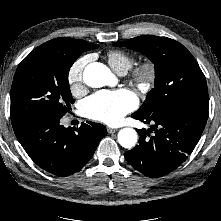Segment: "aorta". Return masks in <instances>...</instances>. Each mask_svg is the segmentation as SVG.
Wrapping results in <instances>:
<instances>
[{"mask_svg":"<svg viewBox=\"0 0 221 221\" xmlns=\"http://www.w3.org/2000/svg\"><path fill=\"white\" fill-rule=\"evenodd\" d=\"M113 75L110 69L102 63L93 62L86 66L83 72L84 82L92 88L110 84ZM138 139L137 132L132 128H123L118 132V142L124 148H132Z\"/></svg>","mask_w":221,"mask_h":221,"instance_id":"1","label":"aorta"}]
</instances>
